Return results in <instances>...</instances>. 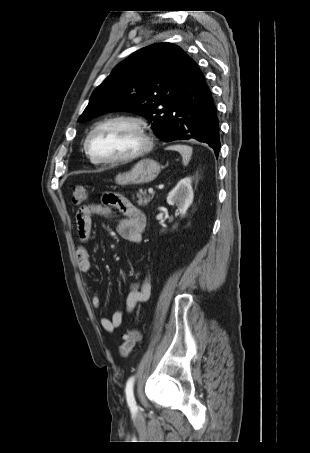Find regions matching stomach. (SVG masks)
I'll list each match as a JSON object with an SVG mask.
<instances>
[{"instance_id":"obj_1","label":"stomach","mask_w":310,"mask_h":453,"mask_svg":"<svg viewBox=\"0 0 310 453\" xmlns=\"http://www.w3.org/2000/svg\"><path fill=\"white\" fill-rule=\"evenodd\" d=\"M161 166L153 159H142L127 172L119 173L115 182L118 185H141L152 182L159 175Z\"/></svg>"}]
</instances>
